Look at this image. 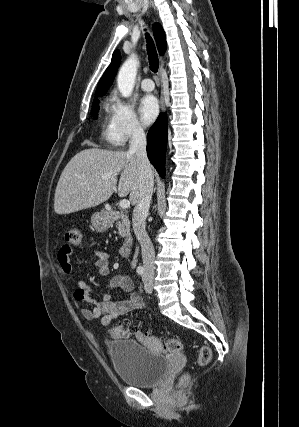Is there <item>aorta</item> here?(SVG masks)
<instances>
[{
    "mask_svg": "<svg viewBox=\"0 0 299 427\" xmlns=\"http://www.w3.org/2000/svg\"><path fill=\"white\" fill-rule=\"evenodd\" d=\"M138 65L139 61L133 54L128 57L119 70L117 86L123 97H129L133 91Z\"/></svg>",
    "mask_w": 299,
    "mask_h": 427,
    "instance_id": "762f6f07",
    "label": "aorta"
}]
</instances>
